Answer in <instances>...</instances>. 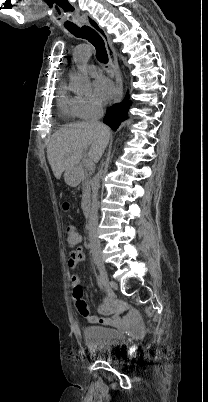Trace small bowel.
<instances>
[{
  "label": "small bowel",
  "instance_id": "1",
  "mask_svg": "<svg viewBox=\"0 0 208 402\" xmlns=\"http://www.w3.org/2000/svg\"><path fill=\"white\" fill-rule=\"evenodd\" d=\"M80 241V237H79ZM70 257L67 260L69 265L75 266L79 261L84 258V253L79 249L70 254ZM71 284H72V296L75 298L76 296L84 297L83 289L80 285V279L77 275L71 276ZM123 304L121 301H113L111 299L107 300L105 304L101 307V312L105 313L102 317L87 316L91 322H96L99 324L108 325L118 324V327L122 330H135L138 327V323H140L141 312L137 309H130L128 315H126L125 310L122 309Z\"/></svg>",
  "mask_w": 208,
  "mask_h": 402
}]
</instances>
